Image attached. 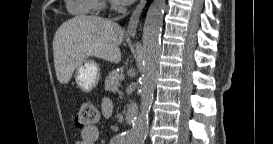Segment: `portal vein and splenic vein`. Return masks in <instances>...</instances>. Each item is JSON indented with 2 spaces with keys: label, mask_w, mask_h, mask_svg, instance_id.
Here are the masks:
<instances>
[{
  "label": "portal vein and splenic vein",
  "mask_w": 273,
  "mask_h": 144,
  "mask_svg": "<svg viewBox=\"0 0 273 144\" xmlns=\"http://www.w3.org/2000/svg\"><path fill=\"white\" fill-rule=\"evenodd\" d=\"M120 79L121 80H124L125 79V76L123 74L120 75Z\"/></svg>",
  "instance_id": "1"
}]
</instances>
